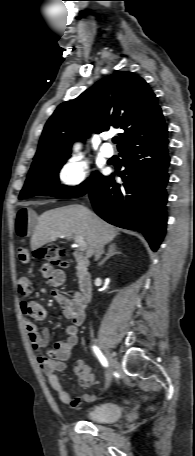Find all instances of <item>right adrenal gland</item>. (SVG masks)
<instances>
[{"label":"right adrenal gland","instance_id":"2a0ac1e0","mask_svg":"<svg viewBox=\"0 0 195 456\" xmlns=\"http://www.w3.org/2000/svg\"><path fill=\"white\" fill-rule=\"evenodd\" d=\"M116 254H121V252L117 251L116 244L112 243L108 246V251H107L106 257L100 262V264H103L107 259H109L110 257H112L113 255H116Z\"/></svg>","mask_w":195,"mask_h":456}]
</instances>
